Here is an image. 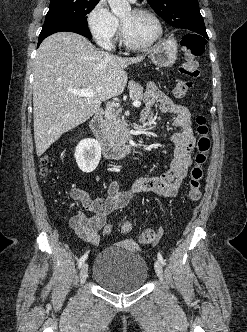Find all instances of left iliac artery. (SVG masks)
<instances>
[{
	"label": "left iliac artery",
	"mask_w": 247,
	"mask_h": 332,
	"mask_svg": "<svg viewBox=\"0 0 247 332\" xmlns=\"http://www.w3.org/2000/svg\"><path fill=\"white\" fill-rule=\"evenodd\" d=\"M157 257H158L159 261L161 262V264L164 266L166 263H165V260L163 259V256L161 255V253H158Z\"/></svg>",
	"instance_id": "left-iliac-artery-1"
}]
</instances>
